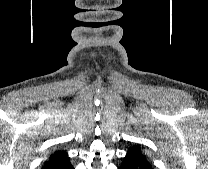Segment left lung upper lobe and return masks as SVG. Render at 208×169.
Wrapping results in <instances>:
<instances>
[{"label": "left lung upper lobe", "instance_id": "1", "mask_svg": "<svg viewBox=\"0 0 208 169\" xmlns=\"http://www.w3.org/2000/svg\"><path fill=\"white\" fill-rule=\"evenodd\" d=\"M133 149L138 150V151H141L140 146L133 147Z\"/></svg>", "mask_w": 208, "mask_h": 169}]
</instances>
